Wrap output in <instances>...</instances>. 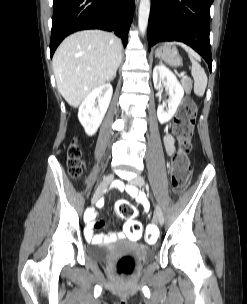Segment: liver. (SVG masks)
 <instances>
[{
  "mask_svg": "<svg viewBox=\"0 0 247 304\" xmlns=\"http://www.w3.org/2000/svg\"><path fill=\"white\" fill-rule=\"evenodd\" d=\"M121 57L122 43L113 33L85 30L68 36L52 61L59 93L78 107L92 90L114 79Z\"/></svg>",
  "mask_w": 247,
  "mask_h": 304,
  "instance_id": "obj_1",
  "label": "liver"
}]
</instances>
